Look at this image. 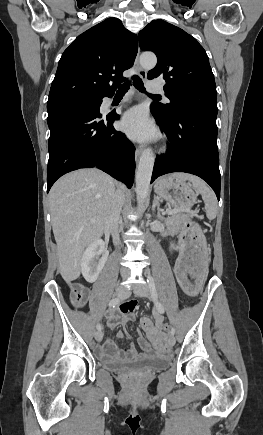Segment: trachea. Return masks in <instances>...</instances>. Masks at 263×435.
<instances>
[{"label": "trachea", "instance_id": "obj_1", "mask_svg": "<svg viewBox=\"0 0 263 435\" xmlns=\"http://www.w3.org/2000/svg\"><path fill=\"white\" fill-rule=\"evenodd\" d=\"M132 80H133V84L137 90H139L142 93H146L143 81L139 76L133 75ZM129 87H130V82H126V83L120 85L118 87L117 94H125L128 91ZM150 96H153L156 98L159 97L158 95H152V94H150Z\"/></svg>", "mask_w": 263, "mask_h": 435}]
</instances>
